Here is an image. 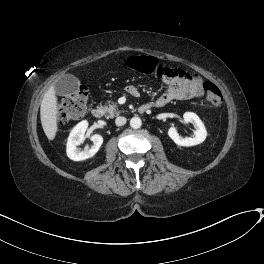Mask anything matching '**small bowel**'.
<instances>
[{
  "mask_svg": "<svg viewBox=\"0 0 264 264\" xmlns=\"http://www.w3.org/2000/svg\"><path fill=\"white\" fill-rule=\"evenodd\" d=\"M169 77L163 78V82L168 85V90L152 102L144 105L149 107H163L173 99H186L200 97L202 95L201 80L194 74L179 68L172 69ZM134 86H129L127 92L132 93ZM136 97V96H135Z\"/></svg>",
  "mask_w": 264,
  "mask_h": 264,
  "instance_id": "small-bowel-1",
  "label": "small bowel"
}]
</instances>
